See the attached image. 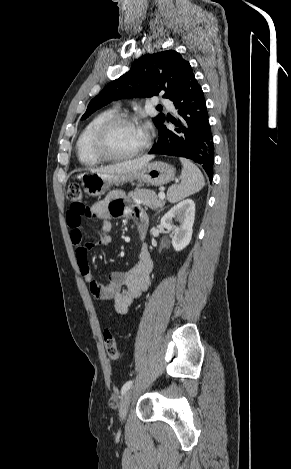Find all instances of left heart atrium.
Here are the masks:
<instances>
[{"mask_svg": "<svg viewBox=\"0 0 291 469\" xmlns=\"http://www.w3.org/2000/svg\"><path fill=\"white\" fill-rule=\"evenodd\" d=\"M140 130L142 131V133H143L145 136L147 135V127H146V126L140 127Z\"/></svg>", "mask_w": 291, "mask_h": 469, "instance_id": "left-heart-atrium-1", "label": "left heart atrium"}]
</instances>
